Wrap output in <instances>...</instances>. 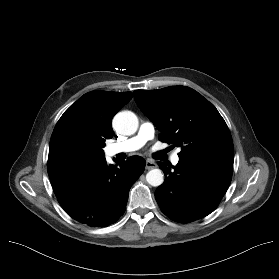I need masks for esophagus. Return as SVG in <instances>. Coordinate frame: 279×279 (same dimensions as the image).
<instances>
[{
    "instance_id": "esophagus-1",
    "label": "esophagus",
    "mask_w": 279,
    "mask_h": 279,
    "mask_svg": "<svg viewBox=\"0 0 279 279\" xmlns=\"http://www.w3.org/2000/svg\"><path fill=\"white\" fill-rule=\"evenodd\" d=\"M146 169L150 170L156 167V163L152 160L147 159L146 160Z\"/></svg>"
}]
</instances>
